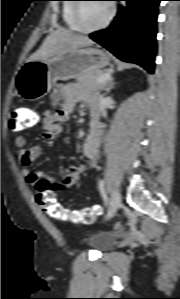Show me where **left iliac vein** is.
Listing matches in <instances>:
<instances>
[{
    "label": "left iliac vein",
    "instance_id": "1",
    "mask_svg": "<svg viewBox=\"0 0 180 299\" xmlns=\"http://www.w3.org/2000/svg\"><path fill=\"white\" fill-rule=\"evenodd\" d=\"M120 205H121V195L118 190H114L112 193L106 219L112 218L115 215L116 211L119 209Z\"/></svg>",
    "mask_w": 180,
    "mask_h": 299
}]
</instances>
